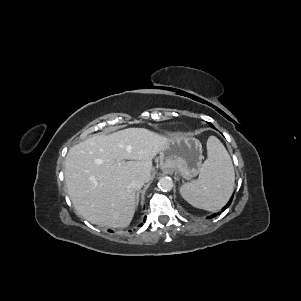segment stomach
I'll return each instance as SVG.
<instances>
[{"instance_id": "1", "label": "stomach", "mask_w": 301, "mask_h": 301, "mask_svg": "<svg viewBox=\"0 0 301 301\" xmlns=\"http://www.w3.org/2000/svg\"><path fill=\"white\" fill-rule=\"evenodd\" d=\"M160 167L184 178H193L202 167V145L193 136H176L159 153Z\"/></svg>"}]
</instances>
